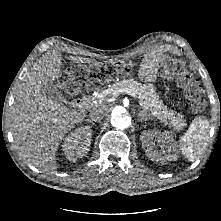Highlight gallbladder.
<instances>
[{"label": "gallbladder", "instance_id": "bac80fb5", "mask_svg": "<svg viewBox=\"0 0 221 221\" xmlns=\"http://www.w3.org/2000/svg\"><path fill=\"white\" fill-rule=\"evenodd\" d=\"M61 89H62V85H61L60 82H58V83H54V82L53 83H48L45 86L46 93L50 98L59 100L61 102H65L66 100L61 94Z\"/></svg>", "mask_w": 221, "mask_h": 221}]
</instances>
